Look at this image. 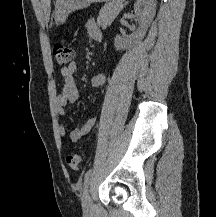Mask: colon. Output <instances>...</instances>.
I'll use <instances>...</instances> for the list:
<instances>
[{
	"label": "colon",
	"instance_id": "colon-1",
	"mask_svg": "<svg viewBox=\"0 0 216 217\" xmlns=\"http://www.w3.org/2000/svg\"><path fill=\"white\" fill-rule=\"evenodd\" d=\"M53 56L60 67H67L73 58V50L64 43H56L53 47ZM66 161L74 171H78L81 167V157L78 154L68 155Z\"/></svg>",
	"mask_w": 216,
	"mask_h": 217
}]
</instances>
